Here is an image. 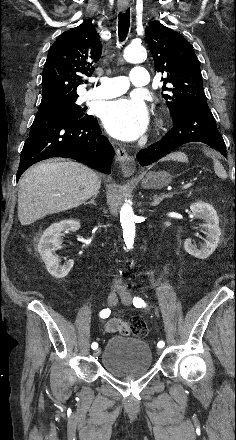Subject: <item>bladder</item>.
Returning a JSON list of instances; mask_svg holds the SVG:
<instances>
[{"label": "bladder", "instance_id": "31cf9c89", "mask_svg": "<svg viewBox=\"0 0 236 440\" xmlns=\"http://www.w3.org/2000/svg\"><path fill=\"white\" fill-rule=\"evenodd\" d=\"M100 353L103 367L121 378L142 375L153 366L150 346L134 337L114 336Z\"/></svg>", "mask_w": 236, "mask_h": 440}]
</instances>
